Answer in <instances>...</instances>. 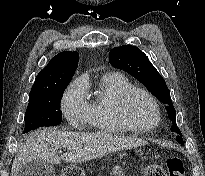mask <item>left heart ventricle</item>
I'll list each match as a JSON object with an SVG mask.
<instances>
[{"label": "left heart ventricle", "instance_id": "left-heart-ventricle-1", "mask_svg": "<svg viewBox=\"0 0 205 176\" xmlns=\"http://www.w3.org/2000/svg\"><path fill=\"white\" fill-rule=\"evenodd\" d=\"M128 112L136 124L150 126L156 121V113L150 101L142 94H136L130 100Z\"/></svg>", "mask_w": 205, "mask_h": 176}]
</instances>
